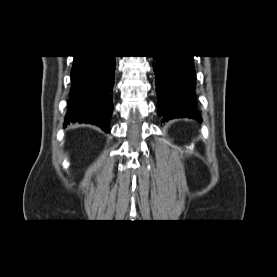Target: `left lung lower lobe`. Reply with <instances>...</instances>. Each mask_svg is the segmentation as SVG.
<instances>
[{
	"instance_id": "obj_1",
	"label": "left lung lower lobe",
	"mask_w": 277,
	"mask_h": 277,
	"mask_svg": "<svg viewBox=\"0 0 277 277\" xmlns=\"http://www.w3.org/2000/svg\"><path fill=\"white\" fill-rule=\"evenodd\" d=\"M154 71L159 115L164 121L192 118L202 121L195 98L193 56H155Z\"/></svg>"
}]
</instances>
